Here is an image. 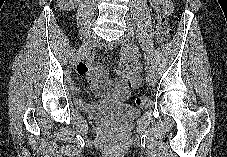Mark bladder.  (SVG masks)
Instances as JSON below:
<instances>
[{"label": "bladder", "mask_w": 227, "mask_h": 157, "mask_svg": "<svg viewBox=\"0 0 227 157\" xmlns=\"http://www.w3.org/2000/svg\"><path fill=\"white\" fill-rule=\"evenodd\" d=\"M141 114V110L124 103L106 105L95 111L93 116L101 120H109L115 122H128L135 119Z\"/></svg>", "instance_id": "31cf9c89"}]
</instances>
